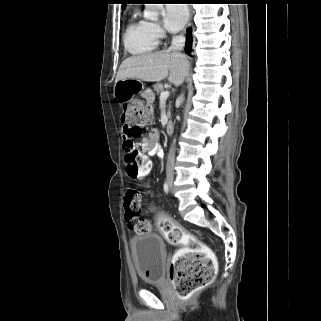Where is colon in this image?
I'll list each match as a JSON object with an SVG mask.
<instances>
[{
  "instance_id": "5ec220e1",
  "label": "colon",
  "mask_w": 321,
  "mask_h": 321,
  "mask_svg": "<svg viewBox=\"0 0 321 321\" xmlns=\"http://www.w3.org/2000/svg\"><path fill=\"white\" fill-rule=\"evenodd\" d=\"M122 122L133 137H140L150 122V111L140 100L124 102ZM128 173L133 177L146 175L151 168L147 156L138 151L125 157ZM140 192L135 188L125 191V220L137 234L148 233L152 226L140 215ZM157 227L168 243L180 246L170 267V277L177 293L187 298L210 284L216 275V260L212 251L182 226L165 215H158Z\"/></svg>"
}]
</instances>
